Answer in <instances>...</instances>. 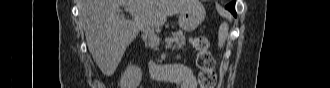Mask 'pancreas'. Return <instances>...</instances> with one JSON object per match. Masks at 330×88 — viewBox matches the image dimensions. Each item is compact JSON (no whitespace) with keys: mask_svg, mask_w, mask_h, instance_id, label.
I'll use <instances>...</instances> for the list:
<instances>
[{"mask_svg":"<svg viewBox=\"0 0 330 88\" xmlns=\"http://www.w3.org/2000/svg\"><path fill=\"white\" fill-rule=\"evenodd\" d=\"M172 38L175 40V45L173 46L176 49H183L185 46V37L182 31H177L172 33ZM148 45L153 48L157 49V45L153 44L150 40L148 41Z\"/></svg>","mask_w":330,"mask_h":88,"instance_id":"pancreas-1","label":"pancreas"}]
</instances>
